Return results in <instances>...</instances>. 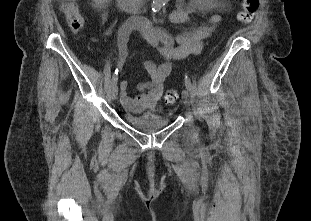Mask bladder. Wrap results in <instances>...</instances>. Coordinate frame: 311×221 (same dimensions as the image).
I'll return each mask as SVG.
<instances>
[{
    "mask_svg": "<svg viewBox=\"0 0 311 221\" xmlns=\"http://www.w3.org/2000/svg\"><path fill=\"white\" fill-rule=\"evenodd\" d=\"M122 113L127 124L137 127L139 131L146 134H154L157 130L171 124V118H165L160 113L145 112L136 115L127 109H123ZM162 113H167V110H162Z\"/></svg>",
    "mask_w": 311,
    "mask_h": 221,
    "instance_id": "bladder-1",
    "label": "bladder"
}]
</instances>
